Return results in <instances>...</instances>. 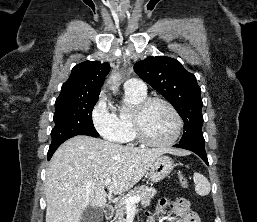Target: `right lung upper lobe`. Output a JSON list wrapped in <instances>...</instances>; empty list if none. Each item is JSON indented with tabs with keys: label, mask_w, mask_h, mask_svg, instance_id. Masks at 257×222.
Here are the masks:
<instances>
[{
	"label": "right lung upper lobe",
	"mask_w": 257,
	"mask_h": 222,
	"mask_svg": "<svg viewBox=\"0 0 257 222\" xmlns=\"http://www.w3.org/2000/svg\"><path fill=\"white\" fill-rule=\"evenodd\" d=\"M110 71L108 63L85 61L77 64L68 80L62 85L57 101L100 94L106 75Z\"/></svg>",
	"instance_id": "cb5924a9"
}]
</instances>
